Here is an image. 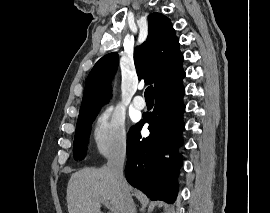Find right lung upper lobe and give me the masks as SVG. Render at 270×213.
Masks as SVG:
<instances>
[{"label":"right lung upper lobe","mask_w":270,"mask_h":213,"mask_svg":"<svg viewBox=\"0 0 270 213\" xmlns=\"http://www.w3.org/2000/svg\"><path fill=\"white\" fill-rule=\"evenodd\" d=\"M146 41L134 50V63L139 80L154 83L155 91L183 71V55L179 50V39L171 21L160 13L148 18ZM118 54L109 53L99 59L88 75L78 120L98 113L109 98L106 86L116 72Z\"/></svg>","instance_id":"1"}]
</instances>
